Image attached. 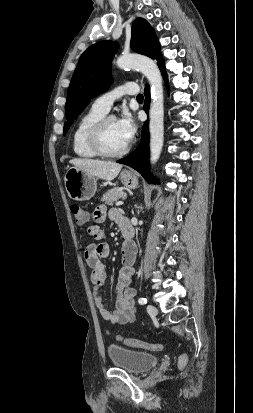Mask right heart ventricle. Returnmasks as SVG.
I'll return each instance as SVG.
<instances>
[{
  "mask_svg": "<svg viewBox=\"0 0 253 413\" xmlns=\"http://www.w3.org/2000/svg\"><path fill=\"white\" fill-rule=\"evenodd\" d=\"M105 114L91 107L78 119L72 134L73 151L78 157L92 159L99 156L88 143V132L91 126Z\"/></svg>",
  "mask_w": 253,
  "mask_h": 413,
  "instance_id": "right-heart-ventricle-1",
  "label": "right heart ventricle"
}]
</instances>
